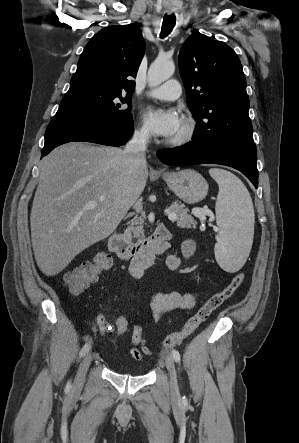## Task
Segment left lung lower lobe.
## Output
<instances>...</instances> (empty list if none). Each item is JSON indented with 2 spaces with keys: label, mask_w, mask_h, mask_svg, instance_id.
I'll use <instances>...</instances> for the list:
<instances>
[{
  "label": "left lung lower lobe",
  "mask_w": 299,
  "mask_h": 443,
  "mask_svg": "<svg viewBox=\"0 0 299 443\" xmlns=\"http://www.w3.org/2000/svg\"><path fill=\"white\" fill-rule=\"evenodd\" d=\"M161 162L170 166L193 164H221L242 172L258 187L257 153L254 143L208 145L190 142L183 147L162 149L157 152Z\"/></svg>",
  "instance_id": "obj_1"
}]
</instances>
